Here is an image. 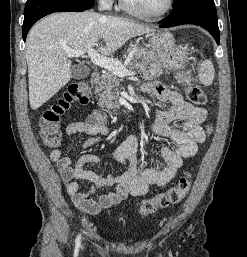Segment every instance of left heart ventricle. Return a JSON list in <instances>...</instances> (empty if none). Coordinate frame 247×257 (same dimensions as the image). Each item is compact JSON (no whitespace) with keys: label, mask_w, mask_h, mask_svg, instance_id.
<instances>
[{"label":"left heart ventricle","mask_w":247,"mask_h":257,"mask_svg":"<svg viewBox=\"0 0 247 257\" xmlns=\"http://www.w3.org/2000/svg\"><path fill=\"white\" fill-rule=\"evenodd\" d=\"M134 8L146 13H158L162 11L167 0H127Z\"/></svg>","instance_id":"obj_1"}]
</instances>
